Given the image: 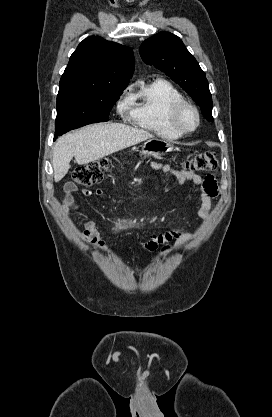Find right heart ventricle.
<instances>
[{
  "label": "right heart ventricle",
  "mask_w": 272,
  "mask_h": 417,
  "mask_svg": "<svg viewBox=\"0 0 272 417\" xmlns=\"http://www.w3.org/2000/svg\"><path fill=\"white\" fill-rule=\"evenodd\" d=\"M181 100L180 91L164 79L141 84L130 97L129 121L162 138L178 139L181 135L170 127L168 113L172 104Z\"/></svg>",
  "instance_id": "e07e8e85"
}]
</instances>
